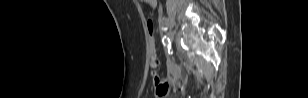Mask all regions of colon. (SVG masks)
<instances>
[{
  "mask_svg": "<svg viewBox=\"0 0 308 98\" xmlns=\"http://www.w3.org/2000/svg\"><path fill=\"white\" fill-rule=\"evenodd\" d=\"M147 30L149 33V38L152 44L151 57H150V66L153 70H156L159 65V60L156 54L155 46H154V24L151 19L147 21ZM155 82L157 86V93L159 95H163L166 93L169 85L168 83L162 79L160 76L155 75Z\"/></svg>",
  "mask_w": 308,
  "mask_h": 98,
  "instance_id": "1",
  "label": "colon"
}]
</instances>
